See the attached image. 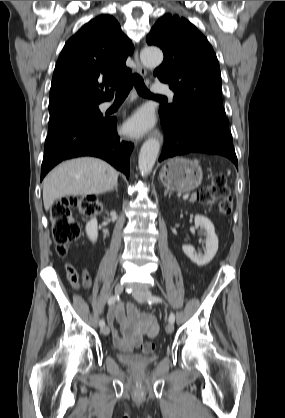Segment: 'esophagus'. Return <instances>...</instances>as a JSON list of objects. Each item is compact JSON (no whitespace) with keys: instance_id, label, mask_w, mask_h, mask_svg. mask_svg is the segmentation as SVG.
I'll return each mask as SVG.
<instances>
[{"instance_id":"1","label":"esophagus","mask_w":285,"mask_h":418,"mask_svg":"<svg viewBox=\"0 0 285 418\" xmlns=\"http://www.w3.org/2000/svg\"><path fill=\"white\" fill-rule=\"evenodd\" d=\"M134 62H135V66H136L137 72H138V73H139L142 77H145V76L147 75V70H146V68L143 66V64L141 63V61H140V59H139V54H138V51H136V52H135V54H134ZM151 135H152L153 137L158 138V139L162 142V140H163V136H162V134H161V132H160V131H158V130H154V131L151 133Z\"/></svg>"}]
</instances>
